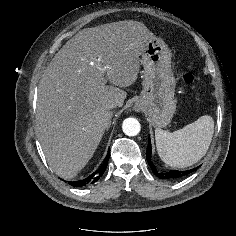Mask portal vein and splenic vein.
<instances>
[{
  "label": "portal vein and splenic vein",
  "mask_w": 236,
  "mask_h": 236,
  "mask_svg": "<svg viewBox=\"0 0 236 236\" xmlns=\"http://www.w3.org/2000/svg\"><path fill=\"white\" fill-rule=\"evenodd\" d=\"M102 70H106V67H105V68H103Z\"/></svg>",
  "instance_id": "obj_1"
}]
</instances>
